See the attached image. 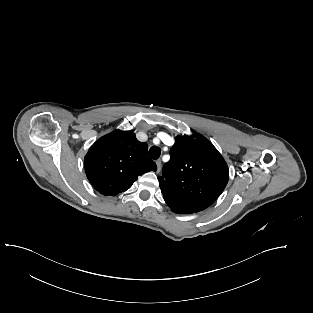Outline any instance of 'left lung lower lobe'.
Listing matches in <instances>:
<instances>
[{
    "instance_id": "0a47b994",
    "label": "left lung lower lobe",
    "mask_w": 313,
    "mask_h": 313,
    "mask_svg": "<svg viewBox=\"0 0 313 313\" xmlns=\"http://www.w3.org/2000/svg\"><path fill=\"white\" fill-rule=\"evenodd\" d=\"M164 200L167 203V205L170 207V209L173 212H175V213H178V214H191V213H194V211H192L189 208H186V207H184L182 205H179L177 203L171 202V201L166 200V199H164Z\"/></svg>"
}]
</instances>
